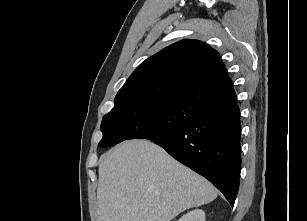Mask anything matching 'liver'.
<instances>
[{
  "instance_id": "liver-1",
  "label": "liver",
  "mask_w": 307,
  "mask_h": 221,
  "mask_svg": "<svg viewBox=\"0 0 307 221\" xmlns=\"http://www.w3.org/2000/svg\"><path fill=\"white\" fill-rule=\"evenodd\" d=\"M216 197L210 182L148 140L126 141L100 157L97 221H171Z\"/></svg>"
}]
</instances>
